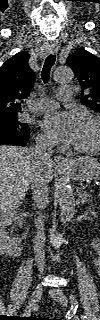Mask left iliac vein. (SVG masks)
Wrapping results in <instances>:
<instances>
[{"mask_svg":"<svg viewBox=\"0 0 100 320\" xmlns=\"http://www.w3.org/2000/svg\"><path fill=\"white\" fill-rule=\"evenodd\" d=\"M50 296L59 302L61 305H67V297L64 292L59 288H53L49 291ZM73 320H80L77 315L74 316Z\"/></svg>","mask_w":100,"mask_h":320,"instance_id":"1","label":"left iliac vein"}]
</instances>
